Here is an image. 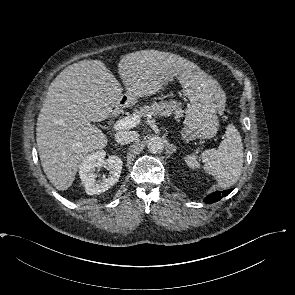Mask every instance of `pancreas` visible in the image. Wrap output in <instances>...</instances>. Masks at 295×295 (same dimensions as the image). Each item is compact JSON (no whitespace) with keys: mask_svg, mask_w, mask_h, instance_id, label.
Segmentation results:
<instances>
[{"mask_svg":"<svg viewBox=\"0 0 295 295\" xmlns=\"http://www.w3.org/2000/svg\"><path fill=\"white\" fill-rule=\"evenodd\" d=\"M184 111L181 108L180 103L177 101H170V102H164L161 101L159 103H153L150 106H143L140 108L139 114L141 116L147 117L149 115H170L174 114L176 118H180L183 116Z\"/></svg>","mask_w":295,"mask_h":295,"instance_id":"cf45deb5","label":"pancreas"}]
</instances>
